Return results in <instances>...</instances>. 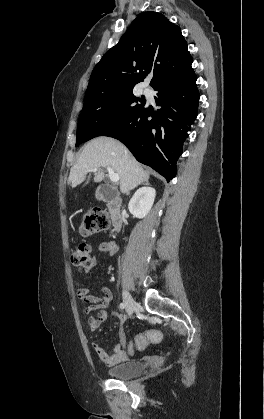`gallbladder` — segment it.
<instances>
[{
    "instance_id": "obj_1",
    "label": "gallbladder",
    "mask_w": 264,
    "mask_h": 419,
    "mask_svg": "<svg viewBox=\"0 0 264 419\" xmlns=\"http://www.w3.org/2000/svg\"><path fill=\"white\" fill-rule=\"evenodd\" d=\"M107 187L105 185L99 186L96 190L95 196L98 200H101L103 195L106 193Z\"/></svg>"
}]
</instances>
